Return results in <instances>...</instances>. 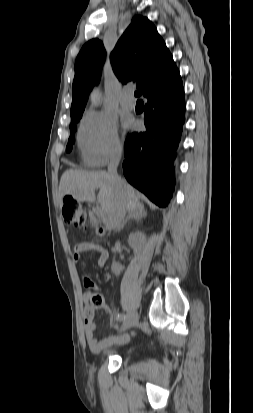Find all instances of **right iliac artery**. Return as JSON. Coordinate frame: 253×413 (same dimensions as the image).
Here are the masks:
<instances>
[{
	"mask_svg": "<svg viewBox=\"0 0 253 413\" xmlns=\"http://www.w3.org/2000/svg\"><path fill=\"white\" fill-rule=\"evenodd\" d=\"M127 318V316L125 314H118L117 315V320L122 321L125 320Z\"/></svg>",
	"mask_w": 253,
	"mask_h": 413,
	"instance_id": "82829eb1",
	"label": "right iliac artery"
}]
</instances>
